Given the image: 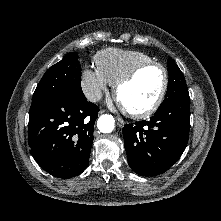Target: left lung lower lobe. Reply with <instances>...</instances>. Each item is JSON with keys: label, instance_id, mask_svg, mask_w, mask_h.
Here are the masks:
<instances>
[{"label": "left lung lower lobe", "instance_id": "1", "mask_svg": "<svg viewBox=\"0 0 221 221\" xmlns=\"http://www.w3.org/2000/svg\"><path fill=\"white\" fill-rule=\"evenodd\" d=\"M189 128V94L161 105L149 121L125 125L124 144L131 169L141 176L166 172L184 152Z\"/></svg>", "mask_w": 221, "mask_h": 221}]
</instances>
